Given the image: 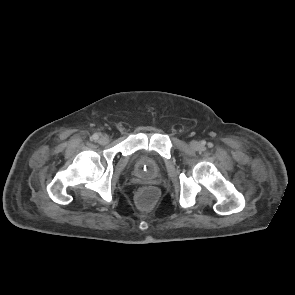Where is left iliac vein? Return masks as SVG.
Masks as SVG:
<instances>
[{"label": "left iliac vein", "instance_id": "left-iliac-vein-1", "mask_svg": "<svg viewBox=\"0 0 295 295\" xmlns=\"http://www.w3.org/2000/svg\"><path fill=\"white\" fill-rule=\"evenodd\" d=\"M191 147L194 148V149H197L200 147V143H198L197 141H192L190 143Z\"/></svg>", "mask_w": 295, "mask_h": 295}]
</instances>
